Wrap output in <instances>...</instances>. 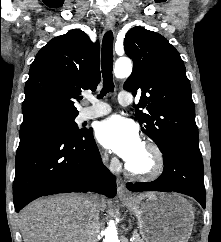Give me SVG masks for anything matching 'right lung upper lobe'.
I'll return each mask as SVG.
<instances>
[{
	"instance_id": "1",
	"label": "right lung upper lobe",
	"mask_w": 221,
	"mask_h": 242,
	"mask_svg": "<svg viewBox=\"0 0 221 242\" xmlns=\"http://www.w3.org/2000/svg\"><path fill=\"white\" fill-rule=\"evenodd\" d=\"M100 76L98 42L79 29L53 38L31 64L21 127L78 114L81 91H94Z\"/></svg>"
}]
</instances>
